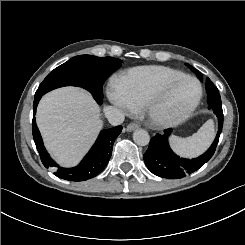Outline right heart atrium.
Masks as SVG:
<instances>
[{"label":"right heart atrium","instance_id":"obj_1","mask_svg":"<svg viewBox=\"0 0 245 245\" xmlns=\"http://www.w3.org/2000/svg\"><path fill=\"white\" fill-rule=\"evenodd\" d=\"M111 99L115 104L123 107L126 111L130 110V107L116 93L111 96Z\"/></svg>","mask_w":245,"mask_h":245}]
</instances>
